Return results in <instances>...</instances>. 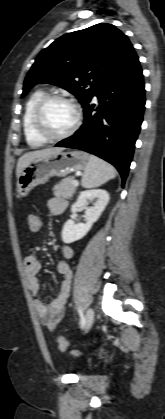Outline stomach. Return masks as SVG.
<instances>
[{
  "label": "stomach",
  "instance_id": "1",
  "mask_svg": "<svg viewBox=\"0 0 165 419\" xmlns=\"http://www.w3.org/2000/svg\"><path fill=\"white\" fill-rule=\"evenodd\" d=\"M89 155L78 150L57 152L33 159L25 167L16 184L19 197L27 196L36 186L46 183L52 176L64 177L86 167Z\"/></svg>",
  "mask_w": 165,
  "mask_h": 419
}]
</instances>
